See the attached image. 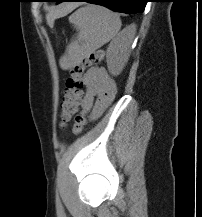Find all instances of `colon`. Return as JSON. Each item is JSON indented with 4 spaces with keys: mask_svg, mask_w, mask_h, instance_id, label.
Returning <instances> with one entry per match:
<instances>
[{
    "mask_svg": "<svg viewBox=\"0 0 202 217\" xmlns=\"http://www.w3.org/2000/svg\"><path fill=\"white\" fill-rule=\"evenodd\" d=\"M104 58V52L97 50L89 54L82 61L74 65L70 70V76L66 81V88L60 110V125H66L75 115L73 133L80 134L86 125V113L76 114L79 108L81 89L83 87L82 74L86 67L100 63Z\"/></svg>",
    "mask_w": 202,
    "mask_h": 217,
    "instance_id": "obj_1",
    "label": "colon"
}]
</instances>
